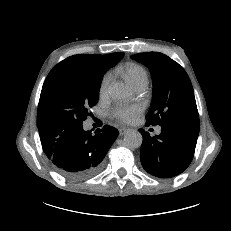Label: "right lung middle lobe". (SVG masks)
Wrapping results in <instances>:
<instances>
[{
    "label": "right lung middle lobe",
    "instance_id": "right-lung-middle-lobe-1",
    "mask_svg": "<svg viewBox=\"0 0 231 231\" xmlns=\"http://www.w3.org/2000/svg\"><path fill=\"white\" fill-rule=\"evenodd\" d=\"M124 53L102 65H78L61 61L48 74L37 111V127L53 124H81L97 104L104 72Z\"/></svg>",
    "mask_w": 231,
    "mask_h": 231
}]
</instances>
